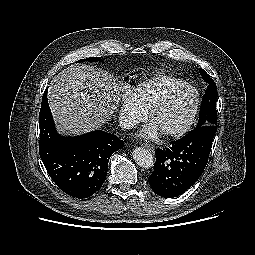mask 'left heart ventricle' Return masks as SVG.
Here are the masks:
<instances>
[{
	"instance_id": "b2bd125f",
	"label": "left heart ventricle",
	"mask_w": 255,
	"mask_h": 255,
	"mask_svg": "<svg viewBox=\"0 0 255 255\" xmlns=\"http://www.w3.org/2000/svg\"><path fill=\"white\" fill-rule=\"evenodd\" d=\"M194 99L195 94L192 90L184 91L156 116L153 123L160 132L180 127L188 120L193 109Z\"/></svg>"
}]
</instances>
